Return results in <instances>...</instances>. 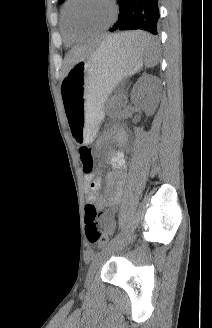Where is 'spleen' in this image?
Wrapping results in <instances>:
<instances>
[{"label":"spleen","mask_w":212,"mask_h":328,"mask_svg":"<svg viewBox=\"0 0 212 328\" xmlns=\"http://www.w3.org/2000/svg\"><path fill=\"white\" fill-rule=\"evenodd\" d=\"M114 37L117 39V44L121 47L144 51V63L147 67H154L157 64L159 48L157 44L151 46L146 45V42L150 40V36L147 33L134 31L115 34Z\"/></svg>","instance_id":"1"}]
</instances>
